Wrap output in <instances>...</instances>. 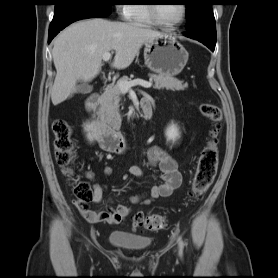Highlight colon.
<instances>
[{"label":"colon","mask_w":278,"mask_h":278,"mask_svg":"<svg viewBox=\"0 0 278 278\" xmlns=\"http://www.w3.org/2000/svg\"><path fill=\"white\" fill-rule=\"evenodd\" d=\"M199 110L201 114L213 123L207 142L199 156L197 169L192 181L190 195L196 200L203 198L215 178L219 158V132L222 121L221 109L214 104L203 103ZM55 158L64 174L73 175L72 165L76 157V144L72 136V128L64 119L53 122ZM73 193L76 202L87 205L93 198L90 185L84 181L73 183ZM135 228L156 231L167 227V220L159 214H137L133 219Z\"/></svg>","instance_id":"1"}]
</instances>
